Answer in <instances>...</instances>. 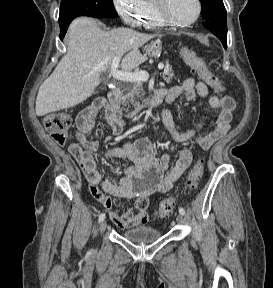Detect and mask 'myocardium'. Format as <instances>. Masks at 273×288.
I'll return each mask as SVG.
<instances>
[{
    "instance_id": "obj_1",
    "label": "myocardium",
    "mask_w": 273,
    "mask_h": 288,
    "mask_svg": "<svg viewBox=\"0 0 273 288\" xmlns=\"http://www.w3.org/2000/svg\"><path fill=\"white\" fill-rule=\"evenodd\" d=\"M195 1L197 4L196 15L191 20L185 21V22H177L169 16L167 12V8H166V3L168 2L167 0H153V4H154L156 15L163 24L176 27V28H185L197 22L201 16L202 2L201 0H195Z\"/></svg>"
}]
</instances>
